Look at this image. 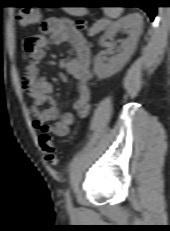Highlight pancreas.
Listing matches in <instances>:
<instances>
[{
	"mask_svg": "<svg viewBox=\"0 0 170 231\" xmlns=\"http://www.w3.org/2000/svg\"><path fill=\"white\" fill-rule=\"evenodd\" d=\"M108 24H109V22L107 20H100V21H98L97 23H95L93 25V27H91L88 30L89 31V35L90 36L96 35L100 31H102Z\"/></svg>",
	"mask_w": 170,
	"mask_h": 231,
	"instance_id": "cf45deb5",
	"label": "pancreas"
}]
</instances>
